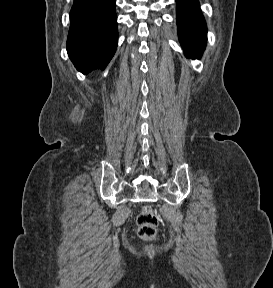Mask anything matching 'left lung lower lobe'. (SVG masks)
<instances>
[{
    "mask_svg": "<svg viewBox=\"0 0 273 288\" xmlns=\"http://www.w3.org/2000/svg\"><path fill=\"white\" fill-rule=\"evenodd\" d=\"M177 27L187 57L200 58L207 40V28L198 0H176Z\"/></svg>",
    "mask_w": 273,
    "mask_h": 288,
    "instance_id": "obj_1",
    "label": "left lung lower lobe"
}]
</instances>
